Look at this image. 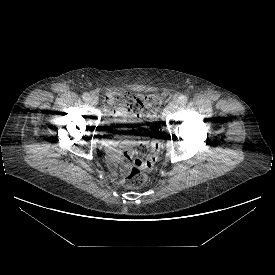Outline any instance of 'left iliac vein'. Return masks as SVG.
I'll return each instance as SVG.
<instances>
[{
    "instance_id": "left-iliac-vein-1",
    "label": "left iliac vein",
    "mask_w": 275,
    "mask_h": 275,
    "mask_svg": "<svg viewBox=\"0 0 275 275\" xmlns=\"http://www.w3.org/2000/svg\"><path fill=\"white\" fill-rule=\"evenodd\" d=\"M178 107V103L175 100L169 102V104L165 107L162 113V118H166V116L174 113Z\"/></svg>"
}]
</instances>
